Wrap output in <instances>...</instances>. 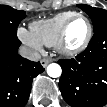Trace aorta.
<instances>
[{"label":"aorta","mask_w":107,"mask_h":107,"mask_svg":"<svg viewBox=\"0 0 107 107\" xmlns=\"http://www.w3.org/2000/svg\"><path fill=\"white\" fill-rule=\"evenodd\" d=\"M47 74L52 78H57L61 76L62 69L59 64L51 63L47 66Z\"/></svg>","instance_id":"762f6f07"}]
</instances>
